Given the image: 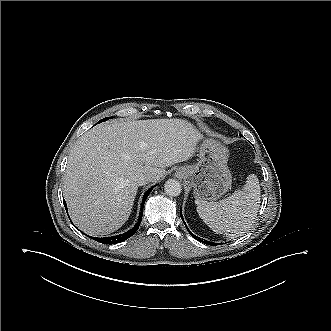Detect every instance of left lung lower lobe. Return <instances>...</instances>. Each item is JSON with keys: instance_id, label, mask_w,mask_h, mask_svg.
Instances as JSON below:
<instances>
[{"instance_id": "left-lung-lower-lobe-1", "label": "left lung lower lobe", "mask_w": 331, "mask_h": 331, "mask_svg": "<svg viewBox=\"0 0 331 331\" xmlns=\"http://www.w3.org/2000/svg\"><path fill=\"white\" fill-rule=\"evenodd\" d=\"M180 215H181V218H182V221H183L184 225L186 226V223H185V221H184V219H183V216H182L181 210H180ZM186 229L188 230L189 234H190L194 239H196V240H198V241H200V242H203V243H205V244H209V245H214V244H215V243H210V242H208V241L202 240L201 238H199V237H197L196 235L192 234V233L190 232V230L187 228V226H186Z\"/></svg>"}]
</instances>
